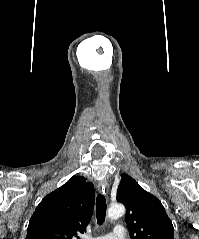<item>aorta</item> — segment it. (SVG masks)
<instances>
[{"mask_svg":"<svg viewBox=\"0 0 199 239\" xmlns=\"http://www.w3.org/2000/svg\"><path fill=\"white\" fill-rule=\"evenodd\" d=\"M125 207L122 204L115 203L112 204L108 209V217L111 220L118 219L119 217H122L125 214Z\"/></svg>","mask_w":199,"mask_h":239,"instance_id":"obj_1","label":"aorta"}]
</instances>
